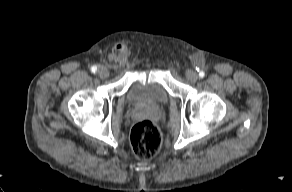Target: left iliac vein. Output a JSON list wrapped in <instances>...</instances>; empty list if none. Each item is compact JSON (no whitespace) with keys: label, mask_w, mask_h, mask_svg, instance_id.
<instances>
[{"label":"left iliac vein","mask_w":292,"mask_h":192,"mask_svg":"<svg viewBox=\"0 0 292 192\" xmlns=\"http://www.w3.org/2000/svg\"><path fill=\"white\" fill-rule=\"evenodd\" d=\"M186 78L192 82V83H195L198 79V74L193 71V70H187L186 71Z\"/></svg>","instance_id":"obj_1"}]
</instances>
